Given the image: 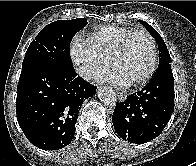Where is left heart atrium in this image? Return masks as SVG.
Wrapping results in <instances>:
<instances>
[{
    "mask_svg": "<svg viewBox=\"0 0 196 166\" xmlns=\"http://www.w3.org/2000/svg\"><path fill=\"white\" fill-rule=\"evenodd\" d=\"M97 78L100 81H108L119 87L129 85V82L124 79L114 68L99 74Z\"/></svg>",
    "mask_w": 196,
    "mask_h": 166,
    "instance_id": "left-heart-atrium-1",
    "label": "left heart atrium"
}]
</instances>
